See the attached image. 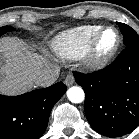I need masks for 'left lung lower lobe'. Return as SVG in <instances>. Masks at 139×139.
Returning <instances> with one entry per match:
<instances>
[{"label":"left lung lower lobe","mask_w":139,"mask_h":139,"mask_svg":"<svg viewBox=\"0 0 139 139\" xmlns=\"http://www.w3.org/2000/svg\"><path fill=\"white\" fill-rule=\"evenodd\" d=\"M75 81L85 92L84 110L91 127L120 137L139 125V43H133L102 70L82 74Z\"/></svg>","instance_id":"left-lung-lower-lobe-1"}]
</instances>
